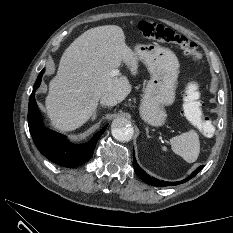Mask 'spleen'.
<instances>
[{
  "label": "spleen",
  "instance_id": "spleen-1",
  "mask_svg": "<svg viewBox=\"0 0 233 233\" xmlns=\"http://www.w3.org/2000/svg\"><path fill=\"white\" fill-rule=\"evenodd\" d=\"M172 151L181 156L186 162L193 163L200 153V142L198 134L194 130L182 133L170 139ZM164 151L166 147H162Z\"/></svg>",
  "mask_w": 233,
  "mask_h": 233
}]
</instances>
